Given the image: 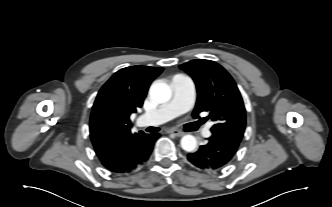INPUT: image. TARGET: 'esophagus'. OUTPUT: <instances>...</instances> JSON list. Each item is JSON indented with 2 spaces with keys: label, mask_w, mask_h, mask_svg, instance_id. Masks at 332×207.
Masks as SVG:
<instances>
[{
  "label": "esophagus",
  "mask_w": 332,
  "mask_h": 207,
  "mask_svg": "<svg viewBox=\"0 0 332 207\" xmlns=\"http://www.w3.org/2000/svg\"><path fill=\"white\" fill-rule=\"evenodd\" d=\"M168 132L171 133V134H174L175 136H178V137H181V136L184 135L183 132H181V131H179V130H176V129H171V130H169Z\"/></svg>",
  "instance_id": "34e87169"
}]
</instances>
